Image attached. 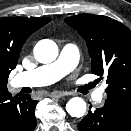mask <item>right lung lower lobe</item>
<instances>
[{
    "label": "right lung lower lobe",
    "mask_w": 131,
    "mask_h": 131,
    "mask_svg": "<svg viewBox=\"0 0 131 131\" xmlns=\"http://www.w3.org/2000/svg\"><path fill=\"white\" fill-rule=\"evenodd\" d=\"M37 103L29 94L12 97L7 88L0 90V131H34Z\"/></svg>",
    "instance_id": "1"
}]
</instances>
